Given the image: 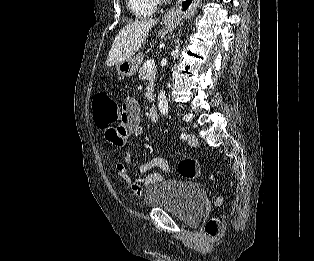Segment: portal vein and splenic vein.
<instances>
[{"label":"portal vein and splenic vein","mask_w":314,"mask_h":261,"mask_svg":"<svg viewBox=\"0 0 314 261\" xmlns=\"http://www.w3.org/2000/svg\"><path fill=\"white\" fill-rule=\"evenodd\" d=\"M144 67L146 70L151 71L155 68V62L154 60L150 59L145 62Z\"/></svg>","instance_id":"18ae733b"}]
</instances>
